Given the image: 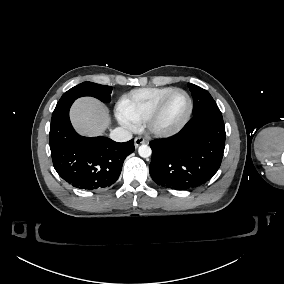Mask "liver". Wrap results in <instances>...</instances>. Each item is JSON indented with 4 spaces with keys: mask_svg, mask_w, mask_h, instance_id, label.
<instances>
[{
    "mask_svg": "<svg viewBox=\"0 0 284 284\" xmlns=\"http://www.w3.org/2000/svg\"><path fill=\"white\" fill-rule=\"evenodd\" d=\"M75 127L84 134L96 135L108 125L107 110L97 100H78L71 112Z\"/></svg>",
    "mask_w": 284,
    "mask_h": 284,
    "instance_id": "liver-1",
    "label": "liver"
}]
</instances>
